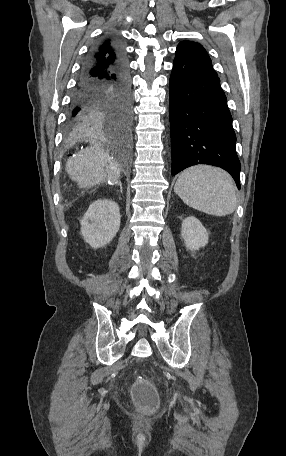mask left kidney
Returning a JSON list of instances; mask_svg holds the SVG:
<instances>
[{"label": "left kidney", "mask_w": 286, "mask_h": 456, "mask_svg": "<svg viewBox=\"0 0 286 456\" xmlns=\"http://www.w3.org/2000/svg\"><path fill=\"white\" fill-rule=\"evenodd\" d=\"M181 236L188 250L195 251L208 243V232L202 223L190 216L183 220Z\"/></svg>", "instance_id": "left-kidney-1"}]
</instances>
